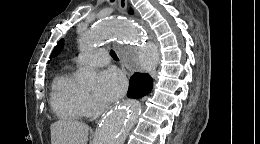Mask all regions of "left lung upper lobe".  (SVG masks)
Masks as SVG:
<instances>
[{"label":"left lung upper lobe","instance_id":"1","mask_svg":"<svg viewBox=\"0 0 260 144\" xmlns=\"http://www.w3.org/2000/svg\"><path fill=\"white\" fill-rule=\"evenodd\" d=\"M63 39H61L58 43H57V45L55 46V48H54V50H53V52H52V54H51V56H50V58H52V57H55L56 55H58L59 53H60V51L62 50V48H63Z\"/></svg>","mask_w":260,"mask_h":144}]
</instances>
